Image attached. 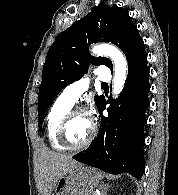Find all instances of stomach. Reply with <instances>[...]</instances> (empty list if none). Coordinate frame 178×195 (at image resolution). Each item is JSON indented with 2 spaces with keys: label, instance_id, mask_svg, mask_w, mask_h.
<instances>
[{
  "label": "stomach",
  "instance_id": "stomach-1",
  "mask_svg": "<svg viewBox=\"0 0 178 195\" xmlns=\"http://www.w3.org/2000/svg\"><path fill=\"white\" fill-rule=\"evenodd\" d=\"M102 178L97 169L80 165L63 176L50 195H93Z\"/></svg>",
  "mask_w": 178,
  "mask_h": 195
}]
</instances>
